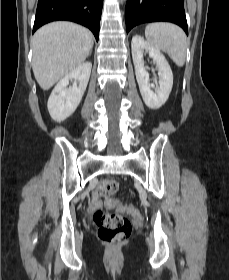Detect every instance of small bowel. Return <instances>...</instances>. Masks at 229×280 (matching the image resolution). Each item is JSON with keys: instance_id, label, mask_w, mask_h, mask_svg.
<instances>
[{"instance_id": "1", "label": "small bowel", "mask_w": 229, "mask_h": 280, "mask_svg": "<svg viewBox=\"0 0 229 280\" xmlns=\"http://www.w3.org/2000/svg\"><path fill=\"white\" fill-rule=\"evenodd\" d=\"M101 192H102V190H101V185H100L93 192L92 201L90 204V210H95L99 206V196H100ZM116 206H117L116 202L113 199H110V198L106 199V201H105L106 208L114 209V208H116Z\"/></svg>"}]
</instances>
